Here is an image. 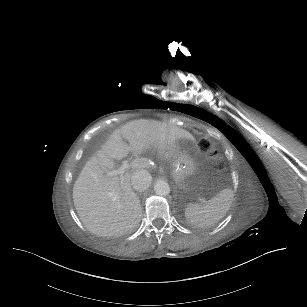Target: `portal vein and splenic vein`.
I'll list each match as a JSON object with an SVG mask.
<instances>
[{"label":"portal vein and splenic vein","mask_w":307,"mask_h":307,"mask_svg":"<svg viewBox=\"0 0 307 307\" xmlns=\"http://www.w3.org/2000/svg\"><path fill=\"white\" fill-rule=\"evenodd\" d=\"M121 163L123 164L121 166V169H117V170H112V171H108L107 175L108 176H116V175H120L122 176L124 174V171H126L128 169V167H131L133 165V162L131 160H128L126 157H123L121 159Z\"/></svg>","instance_id":"1"}]
</instances>
